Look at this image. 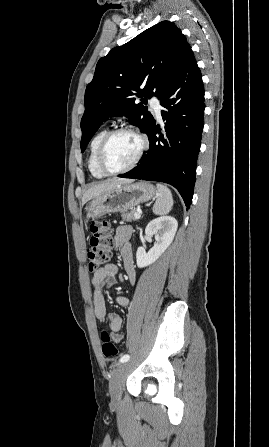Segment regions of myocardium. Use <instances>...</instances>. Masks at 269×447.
Returning <instances> with one entry per match:
<instances>
[{"mask_svg":"<svg viewBox=\"0 0 269 447\" xmlns=\"http://www.w3.org/2000/svg\"><path fill=\"white\" fill-rule=\"evenodd\" d=\"M124 131H129V132H133V133L137 134L141 138L142 145H141V148H140L137 156L135 157L134 161L131 164H129L128 166L123 167V168L112 169L105 162L106 148H107L109 141L115 134H117L119 132H124ZM149 145H150V141H149L148 135L141 128H139L137 126L124 125L121 127L114 128L107 132V134L104 136V138L100 144L99 152H98V165L101 168V170L103 172H105L106 174H118V173H123V172L129 171V170L133 169L140 162V160L143 158L146 151L148 150Z\"/></svg>","mask_w":269,"mask_h":447,"instance_id":"1","label":"myocardium"}]
</instances>
